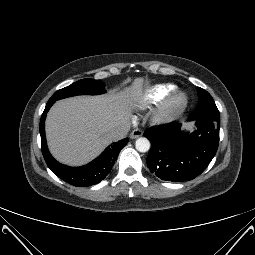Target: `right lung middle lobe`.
I'll return each instance as SVG.
<instances>
[{"instance_id": "1", "label": "right lung middle lobe", "mask_w": 255, "mask_h": 255, "mask_svg": "<svg viewBox=\"0 0 255 255\" xmlns=\"http://www.w3.org/2000/svg\"><path fill=\"white\" fill-rule=\"evenodd\" d=\"M105 92V85L101 80L82 79L56 91L48 102L54 103L56 100L76 95H97Z\"/></svg>"}]
</instances>
